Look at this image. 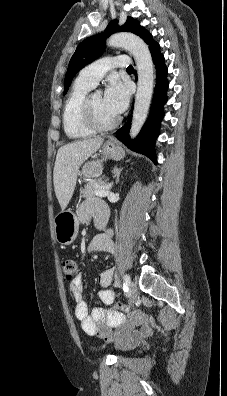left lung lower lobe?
<instances>
[{"instance_id": "1", "label": "left lung lower lobe", "mask_w": 227, "mask_h": 396, "mask_svg": "<svg viewBox=\"0 0 227 396\" xmlns=\"http://www.w3.org/2000/svg\"><path fill=\"white\" fill-rule=\"evenodd\" d=\"M147 44L156 66V86L151 114L135 140L131 141L129 138L132 115L129 117L128 122L116 132V137L130 149L146 155L156 164L154 142L159 135L160 123L164 116L163 106L167 101L166 91L169 83L166 78L167 68L164 64V56L160 53L159 44L153 39L149 40Z\"/></svg>"}]
</instances>
